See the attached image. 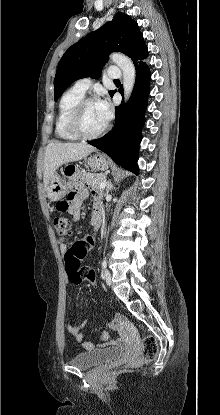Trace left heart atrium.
<instances>
[{
  "label": "left heart atrium",
  "mask_w": 220,
  "mask_h": 415,
  "mask_svg": "<svg viewBox=\"0 0 220 415\" xmlns=\"http://www.w3.org/2000/svg\"><path fill=\"white\" fill-rule=\"evenodd\" d=\"M97 106H98V111H99L101 118L106 123L110 119L111 113H112L108 100L102 99L98 101Z\"/></svg>",
  "instance_id": "obj_1"
}]
</instances>
